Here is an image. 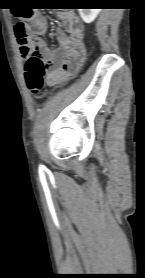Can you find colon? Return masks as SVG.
I'll return each instance as SVG.
<instances>
[{
  "label": "colon",
  "instance_id": "obj_1",
  "mask_svg": "<svg viewBox=\"0 0 145 278\" xmlns=\"http://www.w3.org/2000/svg\"><path fill=\"white\" fill-rule=\"evenodd\" d=\"M29 12H23L22 16L27 18ZM16 34L21 51L29 52L33 43L30 31L27 29L25 21H21L16 25ZM78 69L69 65L63 68L62 80L73 76ZM48 75V67L45 61L38 55H30L25 66V79L29 90L33 94H38L46 85Z\"/></svg>",
  "mask_w": 145,
  "mask_h": 278
}]
</instances>
